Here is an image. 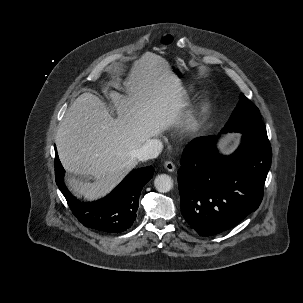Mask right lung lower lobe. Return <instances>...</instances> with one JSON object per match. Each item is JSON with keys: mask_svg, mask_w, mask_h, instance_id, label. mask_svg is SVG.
Returning a JSON list of instances; mask_svg holds the SVG:
<instances>
[{"mask_svg": "<svg viewBox=\"0 0 303 303\" xmlns=\"http://www.w3.org/2000/svg\"><path fill=\"white\" fill-rule=\"evenodd\" d=\"M64 169L55 153L56 183L65 196L74 216L86 227L107 233H120L130 228L136 218L139 196L144 185L152 178V166L130 172L105 198L95 202H81L64 184Z\"/></svg>", "mask_w": 303, "mask_h": 303, "instance_id": "obj_1", "label": "right lung lower lobe"}]
</instances>
